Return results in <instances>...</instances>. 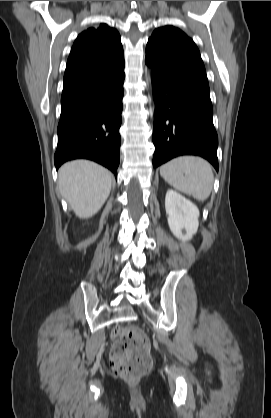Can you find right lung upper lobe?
<instances>
[{"label": "right lung upper lobe", "mask_w": 271, "mask_h": 418, "mask_svg": "<svg viewBox=\"0 0 271 418\" xmlns=\"http://www.w3.org/2000/svg\"><path fill=\"white\" fill-rule=\"evenodd\" d=\"M123 64V47L116 29L100 24L83 31L68 57L61 100L94 85Z\"/></svg>", "instance_id": "right-lung-upper-lobe-1"}]
</instances>
